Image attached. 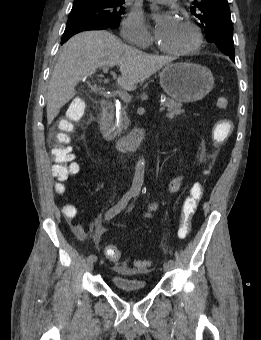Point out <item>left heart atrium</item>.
I'll list each match as a JSON object with an SVG mask.
<instances>
[{
    "label": "left heart atrium",
    "instance_id": "obj_1",
    "mask_svg": "<svg viewBox=\"0 0 261 340\" xmlns=\"http://www.w3.org/2000/svg\"><path fill=\"white\" fill-rule=\"evenodd\" d=\"M154 19L157 24L156 36L159 40L171 35L179 25L178 19L170 13L162 14Z\"/></svg>",
    "mask_w": 261,
    "mask_h": 340
}]
</instances>
